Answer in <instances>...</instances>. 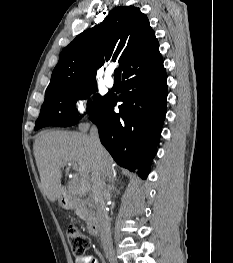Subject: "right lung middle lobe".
Returning a JSON list of instances; mask_svg holds the SVG:
<instances>
[{
	"label": "right lung middle lobe",
	"mask_w": 233,
	"mask_h": 263,
	"mask_svg": "<svg viewBox=\"0 0 233 263\" xmlns=\"http://www.w3.org/2000/svg\"><path fill=\"white\" fill-rule=\"evenodd\" d=\"M96 84L85 86L78 89L66 90L45 97L41 107L39 118L35 123V130L45 126H72L79 120L78 111L75 109V103L79 99H86L96 91ZM107 96L94 95L95 105L91 104L88 107L97 108L101 105ZM93 109V110H94Z\"/></svg>",
	"instance_id": "obj_1"
}]
</instances>
